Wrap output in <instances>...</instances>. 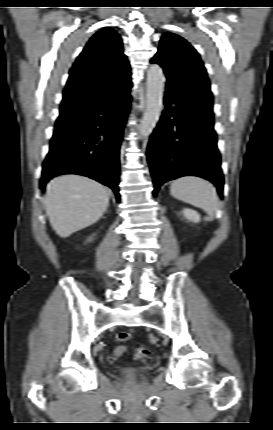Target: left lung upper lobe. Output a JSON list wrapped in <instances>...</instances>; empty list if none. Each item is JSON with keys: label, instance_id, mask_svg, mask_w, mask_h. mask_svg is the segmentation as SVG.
Returning <instances> with one entry per match:
<instances>
[{"label": "left lung upper lobe", "instance_id": "5c2ea615", "mask_svg": "<svg viewBox=\"0 0 273 430\" xmlns=\"http://www.w3.org/2000/svg\"><path fill=\"white\" fill-rule=\"evenodd\" d=\"M152 63L166 75L173 96L198 115L213 119V96L206 69L197 51L182 37L167 32L160 40Z\"/></svg>", "mask_w": 273, "mask_h": 430}]
</instances>
